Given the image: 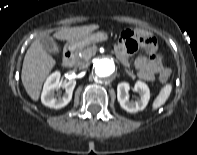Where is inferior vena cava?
Returning <instances> with one entry per match:
<instances>
[{
	"instance_id": "602c4592",
	"label": "inferior vena cava",
	"mask_w": 197,
	"mask_h": 155,
	"mask_svg": "<svg viewBox=\"0 0 197 155\" xmlns=\"http://www.w3.org/2000/svg\"><path fill=\"white\" fill-rule=\"evenodd\" d=\"M85 67H86L85 63L79 65V68H80V69H84Z\"/></svg>"
}]
</instances>
